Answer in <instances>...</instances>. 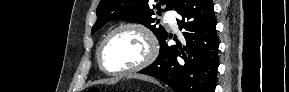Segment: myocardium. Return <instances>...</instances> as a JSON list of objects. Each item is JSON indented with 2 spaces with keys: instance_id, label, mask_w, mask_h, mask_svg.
<instances>
[{
  "instance_id": "1",
  "label": "myocardium",
  "mask_w": 289,
  "mask_h": 92,
  "mask_svg": "<svg viewBox=\"0 0 289 92\" xmlns=\"http://www.w3.org/2000/svg\"><path fill=\"white\" fill-rule=\"evenodd\" d=\"M125 29H133L138 32H140L143 37L145 38L147 45H148V51L145 56V58L138 63L137 65L123 69V70H117V71H111L108 70L104 64H103V51L108 43V41L119 31L125 30ZM159 52V45L156 36L152 32V30L147 27L146 25L138 22H128V23H123L112 29L102 40V42L99 45V48L97 50V62L100 67V69L105 72L106 74L109 75H126V74H131L138 72L146 67H148L150 64H152L155 59L158 56Z\"/></svg>"
}]
</instances>
